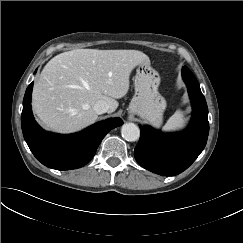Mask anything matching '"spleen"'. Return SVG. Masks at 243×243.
Returning <instances> with one entry per match:
<instances>
[{
  "instance_id": "obj_1",
  "label": "spleen",
  "mask_w": 243,
  "mask_h": 243,
  "mask_svg": "<svg viewBox=\"0 0 243 243\" xmlns=\"http://www.w3.org/2000/svg\"><path fill=\"white\" fill-rule=\"evenodd\" d=\"M185 126V117L184 113L181 110H177L174 115H172L167 121L164 131H176L182 129Z\"/></svg>"
}]
</instances>
